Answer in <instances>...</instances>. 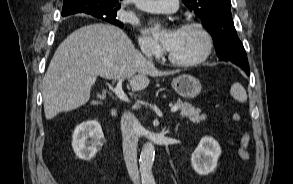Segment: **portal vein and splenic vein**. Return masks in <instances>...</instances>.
<instances>
[{
	"label": "portal vein and splenic vein",
	"instance_id": "1",
	"mask_svg": "<svg viewBox=\"0 0 293 184\" xmlns=\"http://www.w3.org/2000/svg\"><path fill=\"white\" fill-rule=\"evenodd\" d=\"M122 82H123V78H119L118 83H117L116 87L113 89V91L119 99H121L123 101H128V97L122 89ZM178 109H179L178 106H173L171 108V112H173V113L177 112Z\"/></svg>",
	"mask_w": 293,
	"mask_h": 184
}]
</instances>
